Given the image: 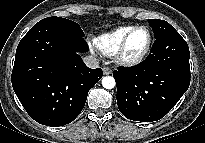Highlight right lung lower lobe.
<instances>
[{
  "instance_id": "1",
  "label": "right lung lower lobe",
  "mask_w": 205,
  "mask_h": 143,
  "mask_svg": "<svg viewBox=\"0 0 205 143\" xmlns=\"http://www.w3.org/2000/svg\"><path fill=\"white\" fill-rule=\"evenodd\" d=\"M83 37L51 23L35 24L15 55L12 86L24 109L43 125L62 126L82 111L102 69L88 68L79 53Z\"/></svg>"
}]
</instances>
